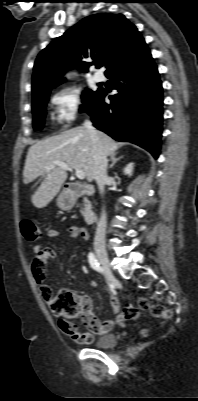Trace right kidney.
I'll use <instances>...</instances> for the list:
<instances>
[{
	"instance_id": "obj_1",
	"label": "right kidney",
	"mask_w": 198,
	"mask_h": 401,
	"mask_svg": "<svg viewBox=\"0 0 198 401\" xmlns=\"http://www.w3.org/2000/svg\"><path fill=\"white\" fill-rule=\"evenodd\" d=\"M133 163H129L125 168H124V173L128 176L132 175L133 172Z\"/></svg>"
}]
</instances>
